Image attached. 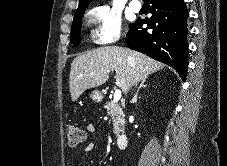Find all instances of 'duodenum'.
Returning <instances> with one entry per match:
<instances>
[{"label": "duodenum", "instance_id": "1", "mask_svg": "<svg viewBox=\"0 0 227 166\" xmlns=\"http://www.w3.org/2000/svg\"><path fill=\"white\" fill-rule=\"evenodd\" d=\"M128 143V136L126 133H121L118 135L116 140V145L120 150H124Z\"/></svg>", "mask_w": 227, "mask_h": 166}]
</instances>
